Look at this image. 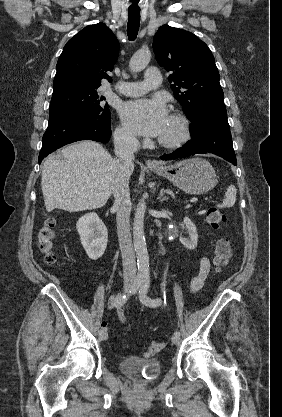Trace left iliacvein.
<instances>
[{
	"label": "left iliac vein",
	"mask_w": 282,
	"mask_h": 417,
	"mask_svg": "<svg viewBox=\"0 0 282 417\" xmlns=\"http://www.w3.org/2000/svg\"><path fill=\"white\" fill-rule=\"evenodd\" d=\"M172 342H173L175 345H179V344L181 343V338H180V336H179V335H173V336H172Z\"/></svg>",
	"instance_id": "4c4485c4"
}]
</instances>
